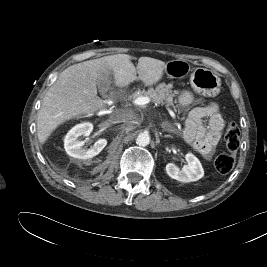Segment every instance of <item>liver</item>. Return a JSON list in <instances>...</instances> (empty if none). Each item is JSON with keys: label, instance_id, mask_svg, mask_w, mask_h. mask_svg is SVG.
Returning <instances> with one entry per match:
<instances>
[{"label": "liver", "instance_id": "obj_1", "mask_svg": "<svg viewBox=\"0 0 267 267\" xmlns=\"http://www.w3.org/2000/svg\"><path fill=\"white\" fill-rule=\"evenodd\" d=\"M132 57L117 54L74 64L66 68L43 98L37 117V135L44 144L62 123L80 115L93 114L106 109V102L97 95L101 82L114 78V85L125 87L137 77L151 86L162 79L166 63L140 57L135 69Z\"/></svg>", "mask_w": 267, "mask_h": 267}]
</instances>
